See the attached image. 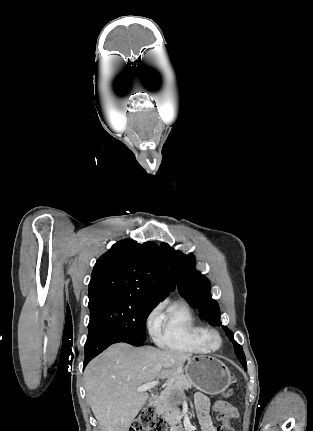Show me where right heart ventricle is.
<instances>
[{"label":"right heart ventricle","mask_w":313,"mask_h":431,"mask_svg":"<svg viewBox=\"0 0 313 431\" xmlns=\"http://www.w3.org/2000/svg\"><path fill=\"white\" fill-rule=\"evenodd\" d=\"M207 330L190 306L175 302L161 313V326L156 339L168 349L206 353L210 350L204 339Z\"/></svg>","instance_id":"obj_1"}]
</instances>
